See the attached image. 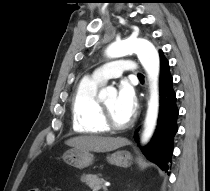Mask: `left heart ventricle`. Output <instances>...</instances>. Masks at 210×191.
Listing matches in <instances>:
<instances>
[{
	"mask_svg": "<svg viewBox=\"0 0 210 191\" xmlns=\"http://www.w3.org/2000/svg\"><path fill=\"white\" fill-rule=\"evenodd\" d=\"M103 102L108 108L113 120L117 124H124L129 120V118H127L122 112L119 111L117 107L116 95L110 96L109 98L105 99Z\"/></svg>",
	"mask_w": 210,
	"mask_h": 191,
	"instance_id": "b2bd125f",
	"label": "left heart ventricle"
}]
</instances>
